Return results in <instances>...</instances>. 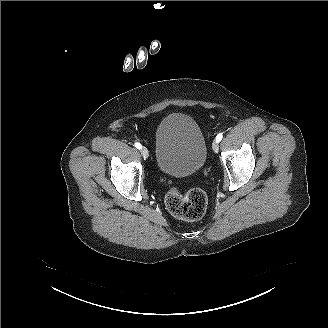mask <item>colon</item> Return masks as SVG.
I'll return each instance as SVG.
<instances>
[{"mask_svg": "<svg viewBox=\"0 0 328 328\" xmlns=\"http://www.w3.org/2000/svg\"><path fill=\"white\" fill-rule=\"evenodd\" d=\"M165 204L174 217L195 221L202 218L206 212L207 196L200 188H190L185 192L171 188L166 194Z\"/></svg>", "mask_w": 328, "mask_h": 328, "instance_id": "1", "label": "colon"}]
</instances>
